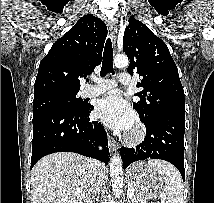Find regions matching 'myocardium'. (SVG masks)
<instances>
[{"mask_svg":"<svg viewBox=\"0 0 214 203\" xmlns=\"http://www.w3.org/2000/svg\"><path fill=\"white\" fill-rule=\"evenodd\" d=\"M145 138V130L142 126H137L129 134L126 135L125 140L129 144L141 143Z\"/></svg>","mask_w":214,"mask_h":203,"instance_id":"1","label":"myocardium"}]
</instances>
